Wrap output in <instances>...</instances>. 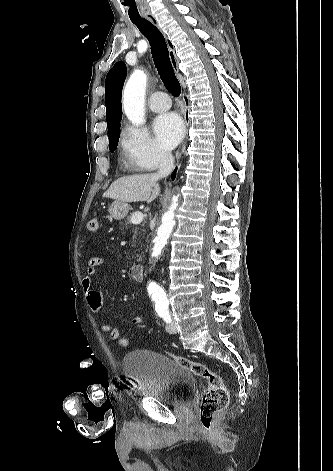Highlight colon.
<instances>
[{"label":"colon","mask_w":333,"mask_h":471,"mask_svg":"<svg viewBox=\"0 0 333 471\" xmlns=\"http://www.w3.org/2000/svg\"><path fill=\"white\" fill-rule=\"evenodd\" d=\"M99 221L97 218H92L88 221L87 228L91 232L98 230ZM117 344L126 348L129 345V340L126 337L119 336L116 340ZM179 366L190 371L195 376L206 379L208 387L205 390L200 407V424L204 432H211L216 416L224 410L229 403V392L223 382L221 376L210 370L205 364L192 361L183 356L170 354Z\"/></svg>","instance_id":"5ec220e1"}]
</instances>
